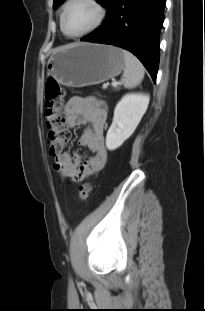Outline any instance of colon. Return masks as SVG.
Segmentation results:
<instances>
[{"mask_svg":"<svg viewBox=\"0 0 205 311\" xmlns=\"http://www.w3.org/2000/svg\"><path fill=\"white\" fill-rule=\"evenodd\" d=\"M64 90L55 79H48L45 83V103L43 116L45 126L48 130L47 144L49 153L52 156H58L63 153L67 146L70 134L65 129L63 112ZM91 191V185L88 182L79 187L77 199L85 201Z\"/></svg>","mask_w":205,"mask_h":311,"instance_id":"1","label":"colon"}]
</instances>
